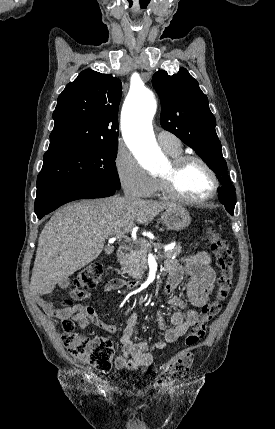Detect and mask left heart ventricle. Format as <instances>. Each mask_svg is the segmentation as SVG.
Instances as JSON below:
<instances>
[{
    "label": "left heart ventricle",
    "mask_w": 275,
    "mask_h": 429,
    "mask_svg": "<svg viewBox=\"0 0 275 429\" xmlns=\"http://www.w3.org/2000/svg\"><path fill=\"white\" fill-rule=\"evenodd\" d=\"M169 162L160 170L159 174H165L169 171ZM212 179L197 162H190L184 166L176 178V188L184 196L194 199L206 197L212 190Z\"/></svg>",
    "instance_id": "b2bd125f"
}]
</instances>
